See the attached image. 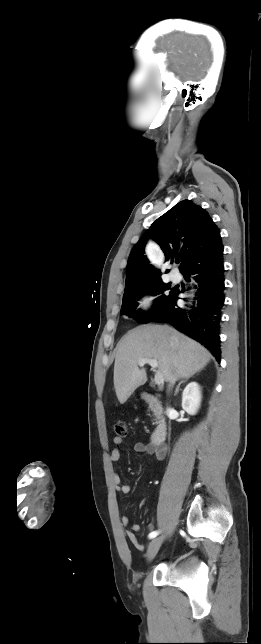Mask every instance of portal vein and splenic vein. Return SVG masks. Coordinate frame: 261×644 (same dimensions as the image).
Masks as SVG:
<instances>
[{
	"mask_svg": "<svg viewBox=\"0 0 261 644\" xmlns=\"http://www.w3.org/2000/svg\"><path fill=\"white\" fill-rule=\"evenodd\" d=\"M145 364H149L152 368L158 367V362L156 359L142 358L138 360L139 366H144ZM154 381L157 385H160L164 382V377L160 371H156Z\"/></svg>",
	"mask_w": 261,
	"mask_h": 644,
	"instance_id": "1",
	"label": "portal vein and splenic vein"
}]
</instances>
